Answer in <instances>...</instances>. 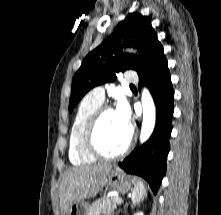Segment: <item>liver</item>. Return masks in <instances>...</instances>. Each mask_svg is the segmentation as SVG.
I'll list each match as a JSON object with an SVG mask.
<instances>
[{"instance_id":"6515ba94","label":"liver","mask_w":221,"mask_h":215,"mask_svg":"<svg viewBox=\"0 0 221 215\" xmlns=\"http://www.w3.org/2000/svg\"><path fill=\"white\" fill-rule=\"evenodd\" d=\"M112 166L109 164L73 167L64 173L59 188L61 211L72 204L98 194L107 182Z\"/></svg>"}]
</instances>
